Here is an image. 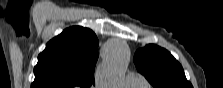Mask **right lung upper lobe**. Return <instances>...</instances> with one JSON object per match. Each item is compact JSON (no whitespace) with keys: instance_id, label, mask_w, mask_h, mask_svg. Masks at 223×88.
Instances as JSON below:
<instances>
[{"instance_id":"cb5924a9","label":"right lung upper lobe","mask_w":223,"mask_h":88,"mask_svg":"<svg viewBox=\"0 0 223 88\" xmlns=\"http://www.w3.org/2000/svg\"><path fill=\"white\" fill-rule=\"evenodd\" d=\"M98 44L96 35L88 28L65 29L38 56L31 88L92 87Z\"/></svg>"}]
</instances>
